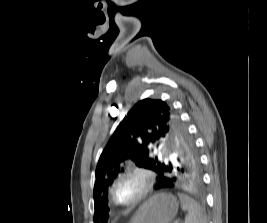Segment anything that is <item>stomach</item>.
<instances>
[{
  "label": "stomach",
  "mask_w": 267,
  "mask_h": 223,
  "mask_svg": "<svg viewBox=\"0 0 267 223\" xmlns=\"http://www.w3.org/2000/svg\"><path fill=\"white\" fill-rule=\"evenodd\" d=\"M179 208V201L168 193L150 197L132 217L130 223H171Z\"/></svg>",
  "instance_id": "stomach-1"
}]
</instances>
